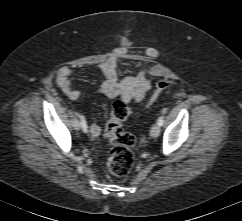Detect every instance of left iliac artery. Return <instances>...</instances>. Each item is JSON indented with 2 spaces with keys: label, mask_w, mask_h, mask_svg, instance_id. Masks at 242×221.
Wrapping results in <instances>:
<instances>
[{
  "label": "left iliac artery",
  "mask_w": 242,
  "mask_h": 221,
  "mask_svg": "<svg viewBox=\"0 0 242 221\" xmlns=\"http://www.w3.org/2000/svg\"><path fill=\"white\" fill-rule=\"evenodd\" d=\"M163 123H164V119H163V117L161 116V117H159V119H158V121H157V124H158L159 126H162Z\"/></svg>",
  "instance_id": "1"
}]
</instances>
